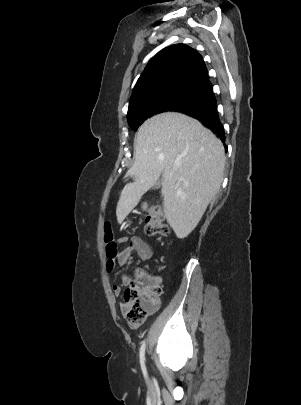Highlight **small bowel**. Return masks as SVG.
<instances>
[{
    "mask_svg": "<svg viewBox=\"0 0 301 405\" xmlns=\"http://www.w3.org/2000/svg\"><path fill=\"white\" fill-rule=\"evenodd\" d=\"M123 244H127V246L118 250L113 258H108L106 262V268L108 271H112L116 265L120 268L125 267L133 256H137L142 260H149L153 256L151 247L140 236H123L118 239L117 245L121 246ZM121 282L123 285H129L132 282V278L128 275H122ZM113 292L116 296H120L122 293V286L119 284L113 285Z\"/></svg>",
    "mask_w": 301,
    "mask_h": 405,
    "instance_id": "obj_1",
    "label": "small bowel"
}]
</instances>
